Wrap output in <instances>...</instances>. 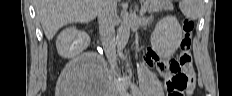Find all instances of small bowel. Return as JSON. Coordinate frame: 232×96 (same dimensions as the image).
Here are the masks:
<instances>
[{"label": "small bowel", "mask_w": 232, "mask_h": 96, "mask_svg": "<svg viewBox=\"0 0 232 96\" xmlns=\"http://www.w3.org/2000/svg\"><path fill=\"white\" fill-rule=\"evenodd\" d=\"M147 20H156V11H149V15H147ZM147 27H154V22H147ZM144 63L149 68L156 67L161 75H163V68H170V63L160 62L158 60V56L154 52L146 54L144 58ZM185 72L190 79H193V81L190 82V88L193 89L195 87V74L192 66L189 65L188 67H186Z\"/></svg>", "instance_id": "small-bowel-1"}]
</instances>
